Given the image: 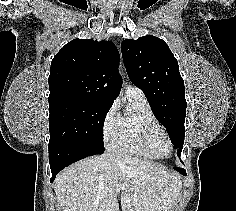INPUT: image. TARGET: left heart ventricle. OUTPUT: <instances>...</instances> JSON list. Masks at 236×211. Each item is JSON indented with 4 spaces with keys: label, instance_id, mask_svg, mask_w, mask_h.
Segmentation results:
<instances>
[{
    "label": "left heart ventricle",
    "instance_id": "1",
    "mask_svg": "<svg viewBox=\"0 0 236 211\" xmlns=\"http://www.w3.org/2000/svg\"><path fill=\"white\" fill-rule=\"evenodd\" d=\"M150 145L157 154L167 155L169 152V143L164 134L160 131L152 135Z\"/></svg>",
    "mask_w": 236,
    "mask_h": 211
}]
</instances>
